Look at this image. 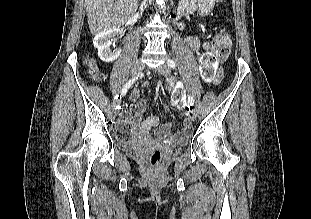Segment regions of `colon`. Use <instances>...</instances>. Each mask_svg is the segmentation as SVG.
<instances>
[{"instance_id":"obj_1","label":"colon","mask_w":311,"mask_h":219,"mask_svg":"<svg viewBox=\"0 0 311 219\" xmlns=\"http://www.w3.org/2000/svg\"><path fill=\"white\" fill-rule=\"evenodd\" d=\"M232 39L229 33L225 31L216 32L210 43V51L203 54L201 57V74L205 80H211L215 76H220L218 71V63L225 61L231 51ZM87 73L92 79L100 77L99 70L91 59L86 60ZM119 136L122 139H127V136ZM164 160V153L162 150H154L149 157V162L152 168H157Z\"/></svg>"}]
</instances>
